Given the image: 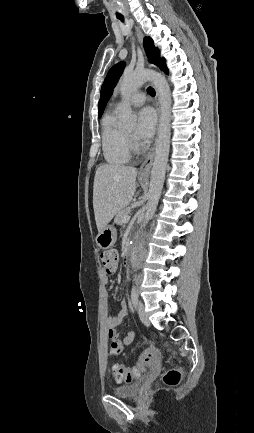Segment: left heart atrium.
Returning <instances> with one entry per match:
<instances>
[{
  "label": "left heart atrium",
  "instance_id": "39dd6f15",
  "mask_svg": "<svg viewBox=\"0 0 254 433\" xmlns=\"http://www.w3.org/2000/svg\"><path fill=\"white\" fill-rule=\"evenodd\" d=\"M156 125V114L153 109L146 107L138 113L136 136L140 140H147L152 137Z\"/></svg>",
  "mask_w": 254,
  "mask_h": 433
}]
</instances>
